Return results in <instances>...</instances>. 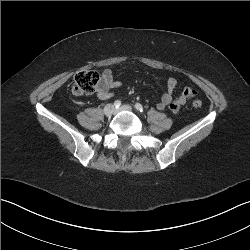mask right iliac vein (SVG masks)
<instances>
[{"instance_id":"right-iliac-vein-1","label":"right iliac vein","mask_w":250,"mask_h":250,"mask_svg":"<svg viewBox=\"0 0 250 250\" xmlns=\"http://www.w3.org/2000/svg\"><path fill=\"white\" fill-rule=\"evenodd\" d=\"M104 114L106 116H111L114 112H115V108L113 105L111 104H107L105 107H104V110H103Z\"/></svg>"}]
</instances>
